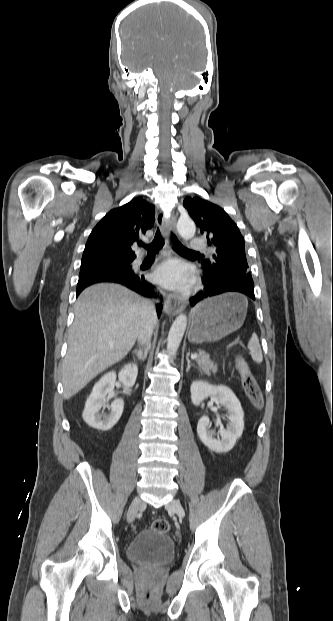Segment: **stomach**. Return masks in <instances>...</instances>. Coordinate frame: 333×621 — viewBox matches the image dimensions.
<instances>
[{
	"label": "stomach",
	"mask_w": 333,
	"mask_h": 621,
	"mask_svg": "<svg viewBox=\"0 0 333 621\" xmlns=\"http://www.w3.org/2000/svg\"><path fill=\"white\" fill-rule=\"evenodd\" d=\"M246 310V302L236 293L204 300L193 310L189 341L200 344L221 340L243 325Z\"/></svg>",
	"instance_id": "0dacf381"
}]
</instances>
